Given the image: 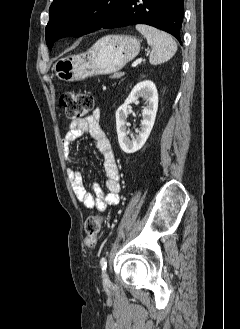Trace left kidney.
Masks as SVG:
<instances>
[{"instance_id": "1", "label": "left kidney", "mask_w": 240, "mask_h": 329, "mask_svg": "<svg viewBox=\"0 0 240 329\" xmlns=\"http://www.w3.org/2000/svg\"><path fill=\"white\" fill-rule=\"evenodd\" d=\"M144 97L146 107L143 109V119L141 120V130L135 138L130 139L127 135L128 110L130 104ZM158 109V93L155 84L152 81L145 80L134 86L131 93L116 111V129L120 148L127 154L140 150L148 139L153 128L156 113Z\"/></svg>"}]
</instances>
